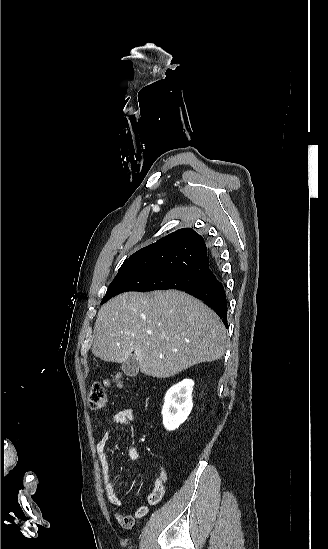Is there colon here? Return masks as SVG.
<instances>
[{
    "instance_id": "obj_1",
    "label": "colon",
    "mask_w": 328,
    "mask_h": 549,
    "mask_svg": "<svg viewBox=\"0 0 328 549\" xmlns=\"http://www.w3.org/2000/svg\"><path fill=\"white\" fill-rule=\"evenodd\" d=\"M111 386H123V383L118 375H113L111 379L103 382H96L92 385L88 395V404L91 409L98 410L106 406L107 391ZM116 518L119 524L126 529H130L134 525V517L130 514L118 513L116 514Z\"/></svg>"
}]
</instances>
